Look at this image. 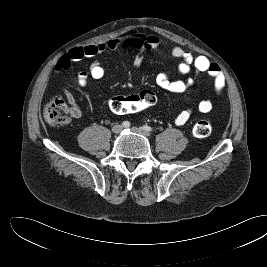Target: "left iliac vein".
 <instances>
[{"instance_id": "left-iliac-vein-1", "label": "left iliac vein", "mask_w": 267, "mask_h": 267, "mask_svg": "<svg viewBox=\"0 0 267 267\" xmlns=\"http://www.w3.org/2000/svg\"><path fill=\"white\" fill-rule=\"evenodd\" d=\"M131 130L135 133H138V134H141L145 137H149L150 136V133L144 129H141V128H137V127H132Z\"/></svg>"}]
</instances>
